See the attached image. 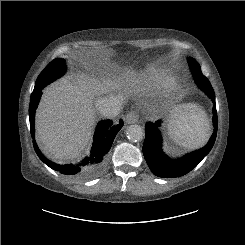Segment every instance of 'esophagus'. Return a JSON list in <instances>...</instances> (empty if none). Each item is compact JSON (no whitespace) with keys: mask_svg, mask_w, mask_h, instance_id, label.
<instances>
[{"mask_svg":"<svg viewBox=\"0 0 245 245\" xmlns=\"http://www.w3.org/2000/svg\"><path fill=\"white\" fill-rule=\"evenodd\" d=\"M138 119H139V116L134 111H130L129 113H127V115L124 118L127 124L137 123Z\"/></svg>","mask_w":245,"mask_h":245,"instance_id":"esophagus-1","label":"esophagus"}]
</instances>
